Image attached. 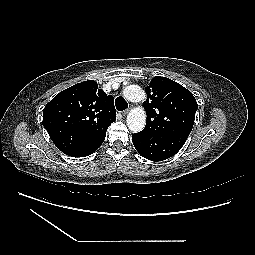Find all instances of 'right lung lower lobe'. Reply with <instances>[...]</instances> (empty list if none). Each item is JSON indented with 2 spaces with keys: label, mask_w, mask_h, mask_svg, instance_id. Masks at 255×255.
Returning a JSON list of instances; mask_svg holds the SVG:
<instances>
[{
  "label": "right lung lower lobe",
  "mask_w": 255,
  "mask_h": 255,
  "mask_svg": "<svg viewBox=\"0 0 255 255\" xmlns=\"http://www.w3.org/2000/svg\"><path fill=\"white\" fill-rule=\"evenodd\" d=\"M106 136V132L100 134L93 140H91L85 147L84 150L75 157H86L95 152L103 143Z\"/></svg>",
  "instance_id": "obj_1"
}]
</instances>
